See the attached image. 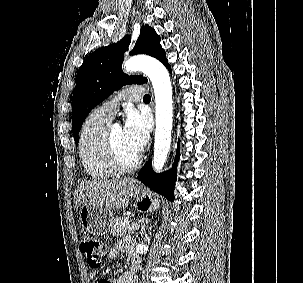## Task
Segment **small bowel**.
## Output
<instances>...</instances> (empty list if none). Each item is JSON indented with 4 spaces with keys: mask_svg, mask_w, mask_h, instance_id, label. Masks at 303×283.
<instances>
[{
    "mask_svg": "<svg viewBox=\"0 0 303 283\" xmlns=\"http://www.w3.org/2000/svg\"><path fill=\"white\" fill-rule=\"evenodd\" d=\"M124 254H126L131 261L138 259V256L133 247V241L131 239H124L117 242L115 247L108 253V258L116 259L123 256ZM97 276L98 273L96 271H92L89 274L91 280H95ZM131 280V275L129 273H124L117 277L114 283H131Z\"/></svg>",
    "mask_w": 303,
    "mask_h": 283,
    "instance_id": "c3829d8e",
    "label": "small bowel"
}]
</instances>
